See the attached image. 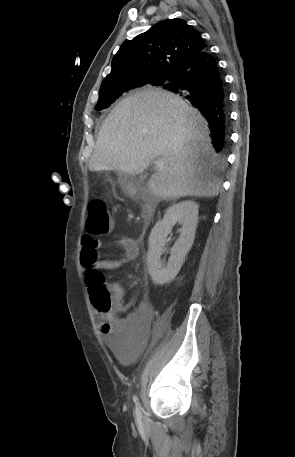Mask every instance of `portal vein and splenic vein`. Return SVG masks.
<instances>
[{"mask_svg": "<svg viewBox=\"0 0 295 457\" xmlns=\"http://www.w3.org/2000/svg\"><path fill=\"white\" fill-rule=\"evenodd\" d=\"M155 163H156V166L159 168H162L165 164V162L162 158H158Z\"/></svg>", "mask_w": 295, "mask_h": 457, "instance_id": "1", "label": "portal vein and splenic vein"}]
</instances>
